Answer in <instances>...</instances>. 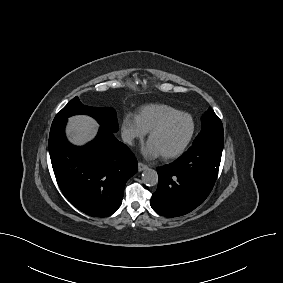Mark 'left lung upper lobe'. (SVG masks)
I'll use <instances>...</instances> for the list:
<instances>
[{"instance_id":"1","label":"left lung upper lobe","mask_w":283,"mask_h":283,"mask_svg":"<svg viewBox=\"0 0 283 283\" xmlns=\"http://www.w3.org/2000/svg\"><path fill=\"white\" fill-rule=\"evenodd\" d=\"M202 129L193 141V144L206 142L223 147L224 135L223 125L215 112L209 108L201 118Z\"/></svg>"}]
</instances>
